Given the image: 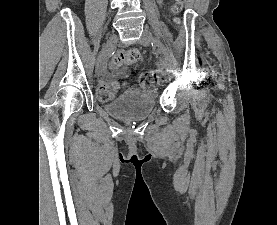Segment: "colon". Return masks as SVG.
<instances>
[{
  "instance_id": "colon-1",
  "label": "colon",
  "mask_w": 277,
  "mask_h": 225,
  "mask_svg": "<svg viewBox=\"0 0 277 225\" xmlns=\"http://www.w3.org/2000/svg\"><path fill=\"white\" fill-rule=\"evenodd\" d=\"M186 0H177L173 10L179 12ZM140 58V52L137 49L121 50L116 53L113 59V66L122 67L134 64ZM160 74L155 70L145 71L140 76V84L144 89L152 90L158 85ZM119 85L116 82H109L99 86L97 96L100 100H109L118 94Z\"/></svg>"
}]
</instances>
